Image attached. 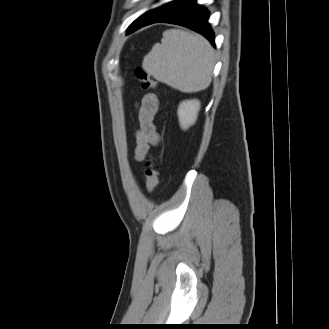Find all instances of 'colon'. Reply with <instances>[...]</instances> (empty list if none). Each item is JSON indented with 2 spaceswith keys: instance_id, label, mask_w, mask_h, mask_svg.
<instances>
[{
  "instance_id": "1",
  "label": "colon",
  "mask_w": 329,
  "mask_h": 329,
  "mask_svg": "<svg viewBox=\"0 0 329 329\" xmlns=\"http://www.w3.org/2000/svg\"><path fill=\"white\" fill-rule=\"evenodd\" d=\"M136 80L144 90H155L157 83L152 79L150 74L143 68L135 70ZM145 176H146V191L152 193L159 182V171L157 169V162L154 156L150 155L145 162Z\"/></svg>"
}]
</instances>
